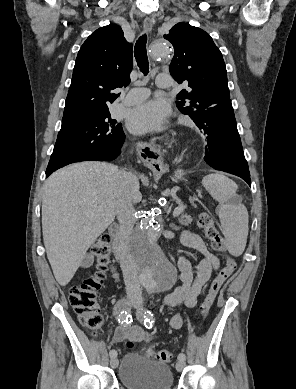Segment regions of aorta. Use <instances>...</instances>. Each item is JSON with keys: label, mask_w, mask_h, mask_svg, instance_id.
Here are the masks:
<instances>
[{"label": "aorta", "mask_w": 296, "mask_h": 389, "mask_svg": "<svg viewBox=\"0 0 296 389\" xmlns=\"http://www.w3.org/2000/svg\"><path fill=\"white\" fill-rule=\"evenodd\" d=\"M150 62H171L172 52L166 41L154 43L149 52ZM160 223L151 213H146L132 232L129 250L136 263L140 284L149 291L170 289L176 270L166 258L160 243Z\"/></svg>", "instance_id": "762f6f07"}]
</instances>
